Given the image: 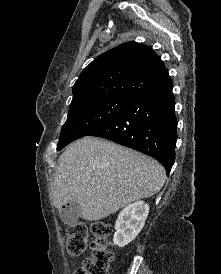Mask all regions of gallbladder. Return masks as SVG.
Returning a JSON list of instances; mask_svg holds the SVG:
<instances>
[{
	"label": "gallbladder",
	"instance_id": "gallbladder-1",
	"mask_svg": "<svg viewBox=\"0 0 221 274\" xmlns=\"http://www.w3.org/2000/svg\"><path fill=\"white\" fill-rule=\"evenodd\" d=\"M68 208L69 215L67 216V220L71 222H76L80 216V204L76 200H72L71 202H69Z\"/></svg>",
	"mask_w": 221,
	"mask_h": 274
}]
</instances>
